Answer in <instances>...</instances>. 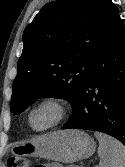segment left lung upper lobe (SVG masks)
Segmentation results:
<instances>
[{"instance_id":"5c2ea615","label":"left lung upper lobe","mask_w":125,"mask_h":167,"mask_svg":"<svg viewBox=\"0 0 125 167\" xmlns=\"http://www.w3.org/2000/svg\"><path fill=\"white\" fill-rule=\"evenodd\" d=\"M118 16L111 0H58L42 7L23 33L11 112L20 114L45 96L73 106Z\"/></svg>"}]
</instances>
